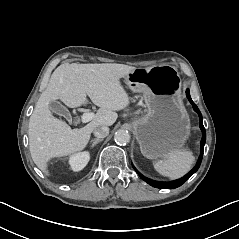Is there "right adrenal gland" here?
I'll return each instance as SVG.
<instances>
[{
	"label": "right adrenal gland",
	"instance_id": "1",
	"mask_svg": "<svg viewBox=\"0 0 239 239\" xmlns=\"http://www.w3.org/2000/svg\"><path fill=\"white\" fill-rule=\"evenodd\" d=\"M104 139L103 138H96V139H93V140H91V142H92V147H94L97 143H99V142H101V141H103Z\"/></svg>",
	"mask_w": 239,
	"mask_h": 239
}]
</instances>
